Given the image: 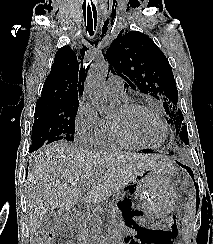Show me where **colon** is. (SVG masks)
Masks as SVG:
<instances>
[{
	"mask_svg": "<svg viewBox=\"0 0 213 244\" xmlns=\"http://www.w3.org/2000/svg\"><path fill=\"white\" fill-rule=\"evenodd\" d=\"M39 244H52V235L51 234H46L39 238Z\"/></svg>",
	"mask_w": 213,
	"mask_h": 244,
	"instance_id": "5ec220e1",
	"label": "colon"
}]
</instances>
